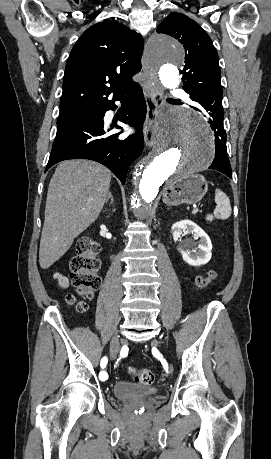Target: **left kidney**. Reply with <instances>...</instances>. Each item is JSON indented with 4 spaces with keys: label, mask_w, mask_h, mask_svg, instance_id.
I'll use <instances>...</instances> for the list:
<instances>
[{
    "label": "left kidney",
    "mask_w": 271,
    "mask_h": 459,
    "mask_svg": "<svg viewBox=\"0 0 271 459\" xmlns=\"http://www.w3.org/2000/svg\"><path fill=\"white\" fill-rule=\"evenodd\" d=\"M182 231H194L195 237H201L197 251H192V253H189L184 243H182V245H177V249H180L184 261H187L190 265H202V263H207L212 255V243L209 235H207L203 229L199 228L197 224L191 222V220H181V222L173 224L171 228L174 241H178L179 237L182 235ZM196 243L197 241H193V245H196Z\"/></svg>",
    "instance_id": "obj_1"
}]
</instances>
